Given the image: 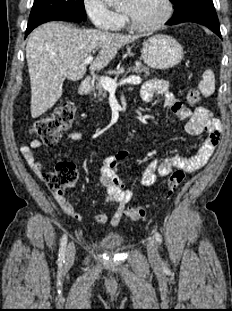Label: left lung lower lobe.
Segmentation results:
<instances>
[{
  "mask_svg": "<svg viewBox=\"0 0 232 311\" xmlns=\"http://www.w3.org/2000/svg\"><path fill=\"white\" fill-rule=\"evenodd\" d=\"M182 22H194L208 27L222 38L219 21L212 0H187L175 9V13L166 24L174 25Z\"/></svg>",
  "mask_w": 232,
  "mask_h": 311,
  "instance_id": "obj_1",
  "label": "left lung lower lobe"
}]
</instances>
